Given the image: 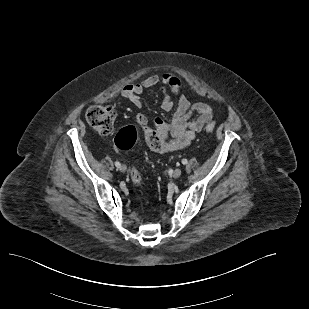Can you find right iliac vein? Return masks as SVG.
<instances>
[{
	"mask_svg": "<svg viewBox=\"0 0 309 309\" xmlns=\"http://www.w3.org/2000/svg\"><path fill=\"white\" fill-rule=\"evenodd\" d=\"M119 170L124 173V172H126L127 167L125 165H121Z\"/></svg>",
	"mask_w": 309,
	"mask_h": 309,
	"instance_id": "right-iliac-vein-1",
	"label": "right iliac vein"
}]
</instances>
